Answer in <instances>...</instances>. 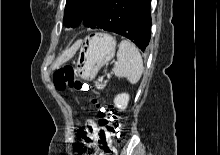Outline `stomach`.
Returning <instances> with one entry per match:
<instances>
[{
	"mask_svg": "<svg viewBox=\"0 0 220 155\" xmlns=\"http://www.w3.org/2000/svg\"><path fill=\"white\" fill-rule=\"evenodd\" d=\"M116 48V40L108 33H97L86 37L81 44L75 64L76 75L83 80H93L99 70L110 61Z\"/></svg>",
	"mask_w": 220,
	"mask_h": 155,
	"instance_id": "1",
	"label": "stomach"
}]
</instances>
